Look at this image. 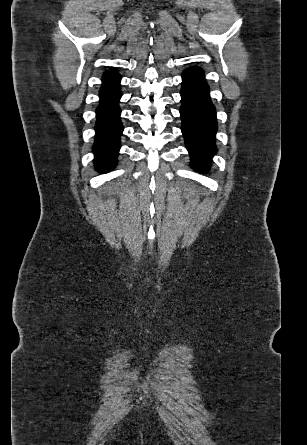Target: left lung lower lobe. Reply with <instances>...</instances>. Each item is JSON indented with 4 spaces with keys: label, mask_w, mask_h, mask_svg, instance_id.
Masks as SVG:
<instances>
[{
    "label": "left lung lower lobe",
    "mask_w": 307,
    "mask_h": 445,
    "mask_svg": "<svg viewBox=\"0 0 307 445\" xmlns=\"http://www.w3.org/2000/svg\"><path fill=\"white\" fill-rule=\"evenodd\" d=\"M182 79L181 130L192 158L191 166L205 172L216 152V111L202 69L188 68L183 72Z\"/></svg>",
    "instance_id": "1"
}]
</instances>
